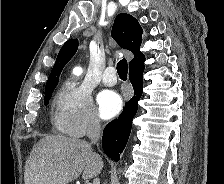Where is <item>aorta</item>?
<instances>
[{
    "label": "aorta",
    "instance_id": "obj_1",
    "mask_svg": "<svg viewBox=\"0 0 224 184\" xmlns=\"http://www.w3.org/2000/svg\"><path fill=\"white\" fill-rule=\"evenodd\" d=\"M73 72L74 74L79 75L82 72V70L81 68L78 67V68H75Z\"/></svg>",
    "mask_w": 224,
    "mask_h": 184
}]
</instances>
